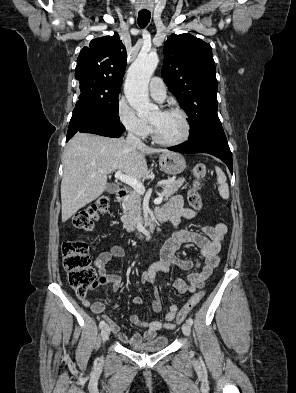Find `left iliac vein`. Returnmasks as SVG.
Here are the masks:
<instances>
[{"label": "left iliac vein", "instance_id": "obj_1", "mask_svg": "<svg viewBox=\"0 0 296 393\" xmlns=\"http://www.w3.org/2000/svg\"><path fill=\"white\" fill-rule=\"evenodd\" d=\"M182 331L185 336H189L191 332V327L188 322L184 323L182 326Z\"/></svg>", "mask_w": 296, "mask_h": 393}]
</instances>
